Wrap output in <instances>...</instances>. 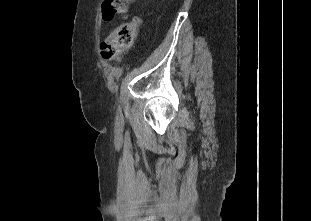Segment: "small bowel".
Returning <instances> with one entry per match:
<instances>
[{
	"mask_svg": "<svg viewBox=\"0 0 311 221\" xmlns=\"http://www.w3.org/2000/svg\"><path fill=\"white\" fill-rule=\"evenodd\" d=\"M122 18H123L124 20H127V19H129V16H128V15H122Z\"/></svg>",
	"mask_w": 311,
	"mask_h": 221,
	"instance_id": "c3829d8e",
	"label": "small bowel"
}]
</instances>
